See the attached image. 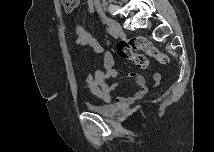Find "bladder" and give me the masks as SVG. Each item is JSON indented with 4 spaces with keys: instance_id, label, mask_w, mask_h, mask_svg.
<instances>
[{
    "instance_id": "bladder-1",
    "label": "bladder",
    "mask_w": 215,
    "mask_h": 152,
    "mask_svg": "<svg viewBox=\"0 0 215 152\" xmlns=\"http://www.w3.org/2000/svg\"><path fill=\"white\" fill-rule=\"evenodd\" d=\"M88 108L100 115H111L113 114L117 107L113 104H98V103H88Z\"/></svg>"
}]
</instances>
